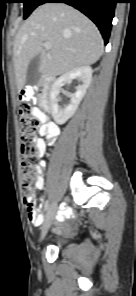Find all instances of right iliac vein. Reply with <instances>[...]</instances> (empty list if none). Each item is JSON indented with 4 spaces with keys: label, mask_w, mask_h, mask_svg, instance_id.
I'll list each match as a JSON object with an SVG mask.
<instances>
[{
    "label": "right iliac vein",
    "mask_w": 136,
    "mask_h": 296,
    "mask_svg": "<svg viewBox=\"0 0 136 296\" xmlns=\"http://www.w3.org/2000/svg\"><path fill=\"white\" fill-rule=\"evenodd\" d=\"M55 214H56V206H55V204H52L50 206V209L47 212L46 219H45L44 225L42 227V233H41L40 240H43L44 237L46 236V234H47V232L54 220Z\"/></svg>",
    "instance_id": "63e3f726"
}]
</instances>
